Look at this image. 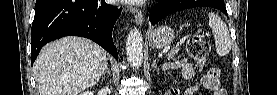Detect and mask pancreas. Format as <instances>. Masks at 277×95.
I'll return each mask as SVG.
<instances>
[{"mask_svg":"<svg viewBox=\"0 0 277 95\" xmlns=\"http://www.w3.org/2000/svg\"><path fill=\"white\" fill-rule=\"evenodd\" d=\"M179 50L176 48V49H172L170 50L168 53H167V59L170 60V59H173L175 58V56L178 54Z\"/></svg>","mask_w":277,"mask_h":95,"instance_id":"pancreas-1","label":"pancreas"}]
</instances>
